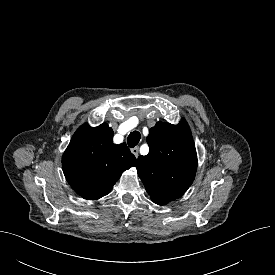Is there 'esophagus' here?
<instances>
[{
  "instance_id": "1",
  "label": "esophagus",
  "mask_w": 275,
  "mask_h": 275,
  "mask_svg": "<svg viewBox=\"0 0 275 275\" xmlns=\"http://www.w3.org/2000/svg\"><path fill=\"white\" fill-rule=\"evenodd\" d=\"M131 152L134 154V156L137 158L139 156V147H134L131 149Z\"/></svg>"
}]
</instances>
